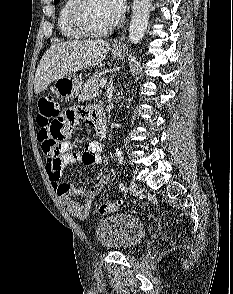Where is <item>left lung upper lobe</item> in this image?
Here are the masks:
<instances>
[{
    "instance_id": "1",
    "label": "left lung upper lobe",
    "mask_w": 233,
    "mask_h": 294,
    "mask_svg": "<svg viewBox=\"0 0 233 294\" xmlns=\"http://www.w3.org/2000/svg\"><path fill=\"white\" fill-rule=\"evenodd\" d=\"M59 2V0H54V4H57Z\"/></svg>"
}]
</instances>
